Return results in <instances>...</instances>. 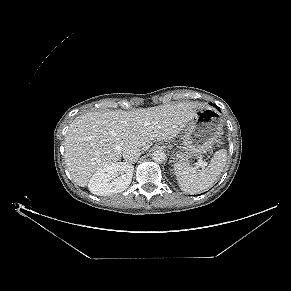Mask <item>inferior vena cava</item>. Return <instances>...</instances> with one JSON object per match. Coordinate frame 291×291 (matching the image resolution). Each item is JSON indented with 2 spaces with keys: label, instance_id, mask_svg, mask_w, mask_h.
<instances>
[{
  "label": "inferior vena cava",
  "instance_id": "1",
  "mask_svg": "<svg viewBox=\"0 0 291 291\" xmlns=\"http://www.w3.org/2000/svg\"><path fill=\"white\" fill-rule=\"evenodd\" d=\"M141 149L136 146H127L123 149V158L128 162L136 161L141 155Z\"/></svg>",
  "mask_w": 291,
  "mask_h": 291
}]
</instances>
